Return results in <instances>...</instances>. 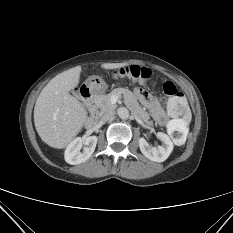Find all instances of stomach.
<instances>
[{
    "mask_svg": "<svg viewBox=\"0 0 233 233\" xmlns=\"http://www.w3.org/2000/svg\"><path fill=\"white\" fill-rule=\"evenodd\" d=\"M88 87L94 92H103L106 89V83L99 76H91L86 80Z\"/></svg>",
    "mask_w": 233,
    "mask_h": 233,
    "instance_id": "0dacf381",
    "label": "stomach"
}]
</instances>
